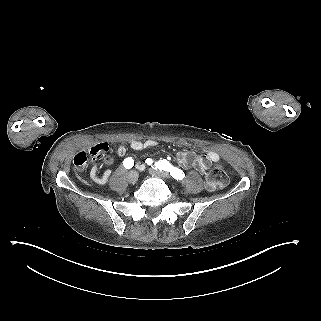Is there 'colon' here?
Returning <instances> with one entry per match:
<instances>
[{"instance_id":"colon-1","label":"colon","mask_w":321,"mask_h":321,"mask_svg":"<svg viewBox=\"0 0 321 321\" xmlns=\"http://www.w3.org/2000/svg\"><path fill=\"white\" fill-rule=\"evenodd\" d=\"M75 165L79 170H83L85 160L83 157L75 159ZM227 183V173L221 164H216L212 167L206 177V186L210 190L222 188Z\"/></svg>"}]
</instances>
